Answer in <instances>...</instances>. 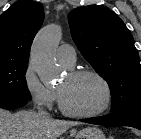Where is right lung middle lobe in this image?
<instances>
[{"mask_svg": "<svg viewBox=\"0 0 141 139\" xmlns=\"http://www.w3.org/2000/svg\"><path fill=\"white\" fill-rule=\"evenodd\" d=\"M28 61H0V102L29 101L25 74Z\"/></svg>", "mask_w": 141, "mask_h": 139, "instance_id": "dd1d6c3e", "label": "right lung middle lobe"}]
</instances>
